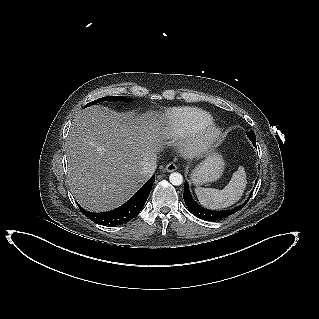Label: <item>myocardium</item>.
I'll use <instances>...</instances> for the list:
<instances>
[{
  "instance_id": "f54148a6",
  "label": "myocardium",
  "mask_w": 319,
  "mask_h": 319,
  "mask_svg": "<svg viewBox=\"0 0 319 319\" xmlns=\"http://www.w3.org/2000/svg\"><path fill=\"white\" fill-rule=\"evenodd\" d=\"M222 131L213 121L191 133L183 147L189 157H199L207 153L219 140Z\"/></svg>"
}]
</instances>
